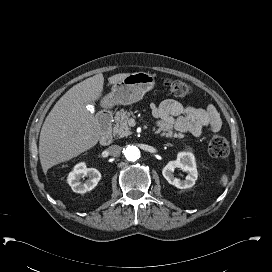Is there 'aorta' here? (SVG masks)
<instances>
[{
  "label": "aorta",
  "instance_id": "1",
  "mask_svg": "<svg viewBox=\"0 0 272 272\" xmlns=\"http://www.w3.org/2000/svg\"><path fill=\"white\" fill-rule=\"evenodd\" d=\"M124 155L127 160L136 161L137 159L140 158V150L136 146L128 145L124 149Z\"/></svg>",
  "mask_w": 272,
  "mask_h": 272
}]
</instances>
